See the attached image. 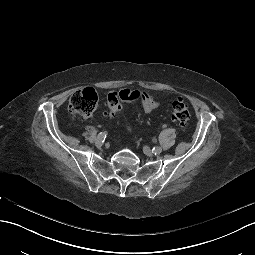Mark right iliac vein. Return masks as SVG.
Returning a JSON list of instances; mask_svg holds the SVG:
<instances>
[{"instance_id":"obj_1","label":"right iliac vein","mask_w":255,"mask_h":255,"mask_svg":"<svg viewBox=\"0 0 255 255\" xmlns=\"http://www.w3.org/2000/svg\"><path fill=\"white\" fill-rule=\"evenodd\" d=\"M95 145H96L97 147H101V146L103 145V141L100 140L99 138H97V139L95 140Z\"/></svg>"}]
</instances>
